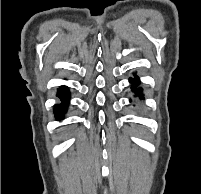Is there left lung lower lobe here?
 <instances>
[{
    "instance_id": "1",
    "label": "left lung lower lobe",
    "mask_w": 201,
    "mask_h": 194,
    "mask_svg": "<svg viewBox=\"0 0 201 194\" xmlns=\"http://www.w3.org/2000/svg\"><path fill=\"white\" fill-rule=\"evenodd\" d=\"M133 75H134V78H130L129 82L139 85L140 84L139 77L136 74H133ZM131 89L137 95V97H139L140 99H144V96L142 93L143 89L141 87L136 88L135 86H132Z\"/></svg>"
}]
</instances>
